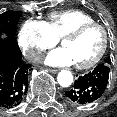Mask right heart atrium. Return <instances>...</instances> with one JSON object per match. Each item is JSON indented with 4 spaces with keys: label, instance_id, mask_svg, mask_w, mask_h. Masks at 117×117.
I'll use <instances>...</instances> for the list:
<instances>
[{
    "label": "right heart atrium",
    "instance_id": "d8ad5b80",
    "mask_svg": "<svg viewBox=\"0 0 117 117\" xmlns=\"http://www.w3.org/2000/svg\"><path fill=\"white\" fill-rule=\"evenodd\" d=\"M19 44L24 55L31 62L40 61L43 53L57 43L45 22L28 19L18 33Z\"/></svg>",
    "mask_w": 117,
    "mask_h": 117
}]
</instances>
